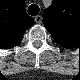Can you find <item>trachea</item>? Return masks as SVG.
I'll use <instances>...</instances> for the list:
<instances>
[{
	"instance_id": "obj_1",
	"label": "trachea",
	"mask_w": 80,
	"mask_h": 80,
	"mask_svg": "<svg viewBox=\"0 0 80 80\" xmlns=\"http://www.w3.org/2000/svg\"><path fill=\"white\" fill-rule=\"evenodd\" d=\"M39 13V7L36 4H32L28 8V14L31 16H36Z\"/></svg>"
}]
</instances>
